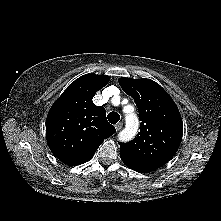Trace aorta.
<instances>
[{
	"instance_id": "aorta-1",
	"label": "aorta",
	"mask_w": 221,
	"mask_h": 221,
	"mask_svg": "<svg viewBox=\"0 0 221 221\" xmlns=\"http://www.w3.org/2000/svg\"><path fill=\"white\" fill-rule=\"evenodd\" d=\"M126 127L118 134L119 141L127 142L134 138L139 127V120L136 114L131 113L126 115Z\"/></svg>"
}]
</instances>
